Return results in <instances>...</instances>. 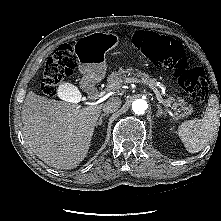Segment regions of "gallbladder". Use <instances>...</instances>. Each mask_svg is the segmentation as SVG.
I'll list each match as a JSON object with an SVG mask.
<instances>
[{
	"label": "gallbladder",
	"instance_id": "1",
	"mask_svg": "<svg viewBox=\"0 0 221 221\" xmlns=\"http://www.w3.org/2000/svg\"><path fill=\"white\" fill-rule=\"evenodd\" d=\"M58 94L61 98L67 99V101L74 106H79L84 101L83 94L74 89L70 84L61 85L58 89Z\"/></svg>",
	"mask_w": 221,
	"mask_h": 221
}]
</instances>
